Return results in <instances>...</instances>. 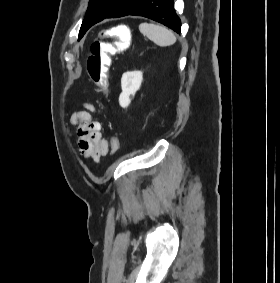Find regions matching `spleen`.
Instances as JSON below:
<instances>
[{
  "label": "spleen",
  "mask_w": 280,
  "mask_h": 283,
  "mask_svg": "<svg viewBox=\"0 0 280 283\" xmlns=\"http://www.w3.org/2000/svg\"><path fill=\"white\" fill-rule=\"evenodd\" d=\"M139 31L160 47L171 46L176 42L173 32L160 25L141 23Z\"/></svg>",
  "instance_id": "obj_1"
}]
</instances>
